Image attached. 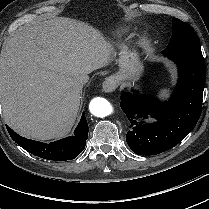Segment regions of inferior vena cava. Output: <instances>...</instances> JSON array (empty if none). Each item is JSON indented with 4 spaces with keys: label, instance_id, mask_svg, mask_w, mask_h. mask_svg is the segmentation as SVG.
Listing matches in <instances>:
<instances>
[{
    "label": "inferior vena cava",
    "instance_id": "inferior-vena-cava-1",
    "mask_svg": "<svg viewBox=\"0 0 209 209\" xmlns=\"http://www.w3.org/2000/svg\"><path fill=\"white\" fill-rule=\"evenodd\" d=\"M83 85H84L83 80H78V81L75 82L74 88H75L76 90H78V91H81Z\"/></svg>",
    "mask_w": 209,
    "mask_h": 209
}]
</instances>
